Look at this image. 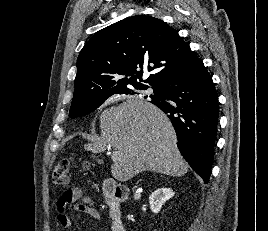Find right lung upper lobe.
<instances>
[{
	"label": "right lung upper lobe",
	"mask_w": 268,
	"mask_h": 231,
	"mask_svg": "<svg viewBox=\"0 0 268 231\" xmlns=\"http://www.w3.org/2000/svg\"><path fill=\"white\" fill-rule=\"evenodd\" d=\"M203 62L177 31L160 19L132 16L96 32L77 60L74 103L91 104L144 81L161 87L195 71Z\"/></svg>",
	"instance_id": "cb5924a9"
}]
</instances>
